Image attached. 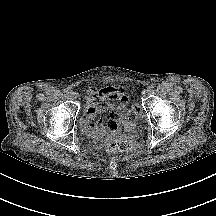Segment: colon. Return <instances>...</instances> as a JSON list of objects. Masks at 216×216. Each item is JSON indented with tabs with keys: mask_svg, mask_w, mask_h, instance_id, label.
Wrapping results in <instances>:
<instances>
[{
	"mask_svg": "<svg viewBox=\"0 0 216 216\" xmlns=\"http://www.w3.org/2000/svg\"><path fill=\"white\" fill-rule=\"evenodd\" d=\"M141 109L138 106H133L128 109L127 115L122 117L119 122L125 127L132 128L135 120L140 117ZM136 147V143L129 139L119 138L111 139L107 142L106 148L109 152H123L127 153Z\"/></svg>",
	"mask_w": 216,
	"mask_h": 216,
	"instance_id": "1",
	"label": "colon"
}]
</instances>
